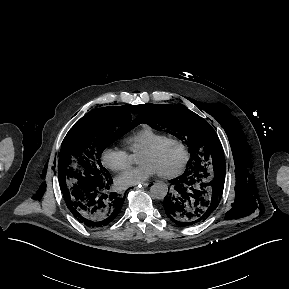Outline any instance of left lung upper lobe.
Wrapping results in <instances>:
<instances>
[{
  "mask_svg": "<svg viewBox=\"0 0 289 289\" xmlns=\"http://www.w3.org/2000/svg\"><path fill=\"white\" fill-rule=\"evenodd\" d=\"M138 119L156 130L166 131L185 140L191 154L187 170L205 168L211 171L225 162L222 145L215 130L182 104L141 105Z\"/></svg>",
  "mask_w": 289,
  "mask_h": 289,
  "instance_id": "1",
  "label": "left lung upper lobe"
}]
</instances>
